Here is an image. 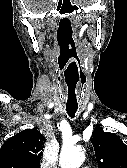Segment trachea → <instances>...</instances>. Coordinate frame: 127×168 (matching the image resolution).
Instances as JSON below:
<instances>
[{"mask_svg": "<svg viewBox=\"0 0 127 168\" xmlns=\"http://www.w3.org/2000/svg\"><path fill=\"white\" fill-rule=\"evenodd\" d=\"M78 106H66V111L71 118H74L77 112Z\"/></svg>", "mask_w": 127, "mask_h": 168, "instance_id": "1", "label": "trachea"}]
</instances>
